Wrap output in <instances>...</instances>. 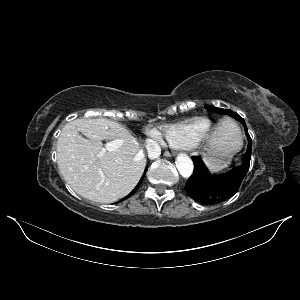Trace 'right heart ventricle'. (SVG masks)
Listing matches in <instances>:
<instances>
[{
  "label": "right heart ventricle",
  "instance_id": "1",
  "mask_svg": "<svg viewBox=\"0 0 300 300\" xmlns=\"http://www.w3.org/2000/svg\"><path fill=\"white\" fill-rule=\"evenodd\" d=\"M212 124L203 118H193L182 122L164 125L161 133L169 145L175 149H192L198 146L207 136Z\"/></svg>",
  "mask_w": 300,
  "mask_h": 300
}]
</instances>
